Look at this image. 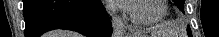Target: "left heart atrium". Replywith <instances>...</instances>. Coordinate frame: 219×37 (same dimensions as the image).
Instances as JSON below:
<instances>
[{
  "label": "left heart atrium",
  "instance_id": "obj_1",
  "mask_svg": "<svg viewBox=\"0 0 219 37\" xmlns=\"http://www.w3.org/2000/svg\"><path fill=\"white\" fill-rule=\"evenodd\" d=\"M122 3L123 6H125L126 8H129L132 6L133 1L132 0H121L120 1Z\"/></svg>",
  "mask_w": 219,
  "mask_h": 37
}]
</instances>
